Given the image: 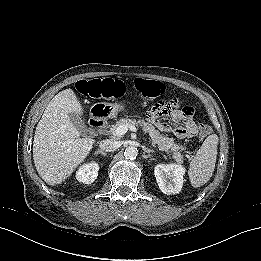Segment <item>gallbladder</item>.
<instances>
[{
	"mask_svg": "<svg viewBox=\"0 0 261 261\" xmlns=\"http://www.w3.org/2000/svg\"><path fill=\"white\" fill-rule=\"evenodd\" d=\"M75 123L82 131H86V126L83 123H81L79 120H75Z\"/></svg>",
	"mask_w": 261,
	"mask_h": 261,
	"instance_id": "bac80fb5",
	"label": "gallbladder"
}]
</instances>
